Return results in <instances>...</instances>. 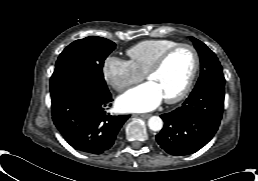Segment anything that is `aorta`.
<instances>
[{
    "label": "aorta",
    "mask_w": 258,
    "mask_h": 181,
    "mask_svg": "<svg viewBox=\"0 0 258 181\" xmlns=\"http://www.w3.org/2000/svg\"><path fill=\"white\" fill-rule=\"evenodd\" d=\"M148 127L153 131H159L163 127V121L158 116H152L148 120Z\"/></svg>",
    "instance_id": "aorta-1"
}]
</instances>
